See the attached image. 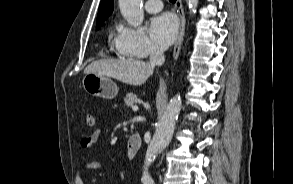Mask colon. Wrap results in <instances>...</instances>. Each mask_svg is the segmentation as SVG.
<instances>
[{
  "instance_id": "colon-1",
  "label": "colon",
  "mask_w": 293,
  "mask_h": 184,
  "mask_svg": "<svg viewBox=\"0 0 293 184\" xmlns=\"http://www.w3.org/2000/svg\"><path fill=\"white\" fill-rule=\"evenodd\" d=\"M86 123L88 126L92 127L95 125V118L92 114H88L86 116Z\"/></svg>"
}]
</instances>
